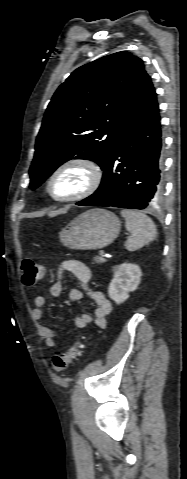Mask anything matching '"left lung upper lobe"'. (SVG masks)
Here are the masks:
<instances>
[{
  "mask_svg": "<svg viewBox=\"0 0 187 479\" xmlns=\"http://www.w3.org/2000/svg\"><path fill=\"white\" fill-rule=\"evenodd\" d=\"M147 73L143 61L121 51L76 69L46 110L30 167L36 189L71 159H110Z\"/></svg>",
  "mask_w": 187,
  "mask_h": 479,
  "instance_id": "left-lung-upper-lobe-1",
  "label": "left lung upper lobe"
}]
</instances>
